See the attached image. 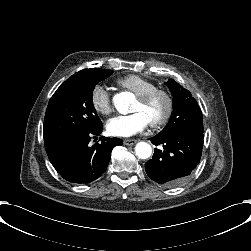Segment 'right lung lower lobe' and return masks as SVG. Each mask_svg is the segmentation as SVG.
Returning a JSON list of instances; mask_svg holds the SVG:
<instances>
[{
    "instance_id": "obj_1",
    "label": "right lung lower lobe",
    "mask_w": 251,
    "mask_h": 251,
    "mask_svg": "<svg viewBox=\"0 0 251 251\" xmlns=\"http://www.w3.org/2000/svg\"><path fill=\"white\" fill-rule=\"evenodd\" d=\"M102 129L69 132L44 141L50 162L65 180L88 184L105 172L111 150L123 141L101 136V142L91 146L92 136L100 135Z\"/></svg>"
}]
</instances>
